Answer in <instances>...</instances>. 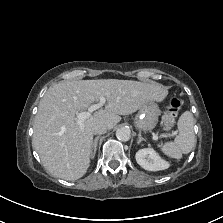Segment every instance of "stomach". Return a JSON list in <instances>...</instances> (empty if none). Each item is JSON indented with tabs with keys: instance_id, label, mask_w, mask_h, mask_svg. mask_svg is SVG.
Listing matches in <instances>:
<instances>
[{
	"instance_id": "stomach-1",
	"label": "stomach",
	"mask_w": 223,
	"mask_h": 223,
	"mask_svg": "<svg viewBox=\"0 0 223 223\" xmlns=\"http://www.w3.org/2000/svg\"><path fill=\"white\" fill-rule=\"evenodd\" d=\"M160 110L154 101H149L140 107L136 115V127L143 131H151L158 122Z\"/></svg>"
}]
</instances>
